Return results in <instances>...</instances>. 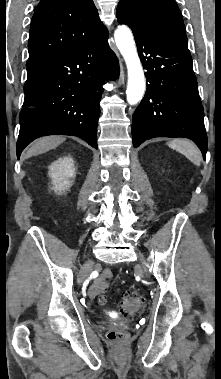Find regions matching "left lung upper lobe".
Instances as JSON below:
<instances>
[{"label": "left lung upper lobe", "mask_w": 221, "mask_h": 379, "mask_svg": "<svg viewBox=\"0 0 221 379\" xmlns=\"http://www.w3.org/2000/svg\"><path fill=\"white\" fill-rule=\"evenodd\" d=\"M117 12L153 35L187 45L182 15L174 0H120Z\"/></svg>", "instance_id": "1"}]
</instances>
